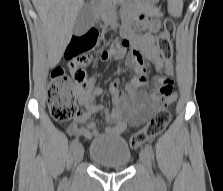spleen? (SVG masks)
I'll use <instances>...</instances> for the list:
<instances>
[{
    "mask_svg": "<svg viewBox=\"0 0 223 191\" xmlns=\"http://www.w3.org/2000/svg\"><path fill=\"white\" fill-rule=\"evenodd\" d=\"M183 0H169L168 10L169 13L175 17H180L182 14Z\"/></svg>",
    "mask_w": 223,
    "mask_h": 191,
    "instance_id": "1",
    "label": "spleen"
}]
</instances>
